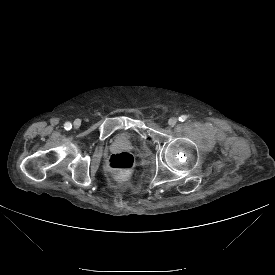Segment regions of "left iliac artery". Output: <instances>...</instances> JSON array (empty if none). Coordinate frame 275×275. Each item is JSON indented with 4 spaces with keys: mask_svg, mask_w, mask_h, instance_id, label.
I'll return each instance as SVG.
<instances>
[{
    "mask_svg": "<svg viewBox=\"0 0 275 275\" xmlns=\"http://www.w3.org/2000/svg\"><path fill=\"white\" fill-rule=\"evenodd\" d=\"M187 119L185 115L179 117V121L184 122Z\"/></svg>",
    "mask_w": 275,
    "mask_h": 275,
    "instance_id": "obj_1",
    "label": "left iliac artery"
}]
</instances>
